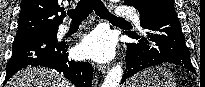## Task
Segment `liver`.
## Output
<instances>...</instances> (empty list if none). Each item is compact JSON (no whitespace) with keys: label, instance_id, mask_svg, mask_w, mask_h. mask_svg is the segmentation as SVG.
I'll list each match as a JSON object with an SVG mask.
<instances>
[{"label":"liver","instance_id":"1","mask_svg":"<svg viewBox=\"0 0 205 87\" xmlns=\"http://www.w3.org/2000/svg\"><path fill=\"white\" fill-rule=\"evenodd\" d=\"M6 87H71V84L53 70L28 67L16 73Z\"/></svg>","mask_w":205,"mask_h":87}]
</instances>
